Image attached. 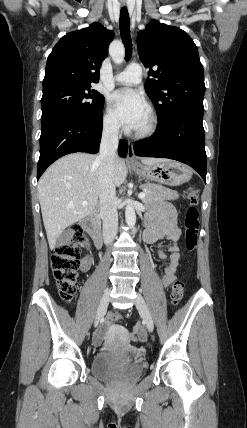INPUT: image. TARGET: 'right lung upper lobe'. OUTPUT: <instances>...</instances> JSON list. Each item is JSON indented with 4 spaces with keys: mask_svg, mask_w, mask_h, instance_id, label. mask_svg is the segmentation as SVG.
<instances>
[{
    "mask_svg": "<svg viewBox=\"0 0 247 428\" xmlns=\"http://www.w3.org/2000/svg\"><path fill=\"white\" fill-rule=\"evenodd\" d=\"M113 38L114 33L98 23L62 37L48 57L43 92L97 83L101 62Z\"/></svg>",
    "mask_w": 247,
    "mask_h": 428,
    "instance_id": "cb5924a9",
    "label": "right lung upper lobe"
}]
</instances>
